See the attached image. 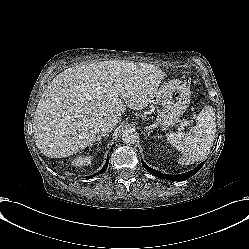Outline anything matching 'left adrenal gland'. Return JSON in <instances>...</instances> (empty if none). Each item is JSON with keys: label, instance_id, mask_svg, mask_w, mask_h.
I'll use <instances>...</instances> for the list:
<instances>
[{"label": "left adrenal gland", "instance_id": "1", "mask_svg": "<svg viewBox=\"0 0 249 249\" xmlns=\"http://www.w3.org/2000/svg\"><path fill=\"white\" fill-rule=\"evenodd\" d=\"M145 129H146V133H148V135H150L151 131L148 129V127H145ZM156 137L160 138L161 136H156Z\"/></svg>", "mask_w": 249, "mask_h": 249}]
</instances>
